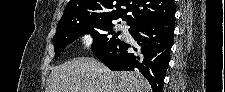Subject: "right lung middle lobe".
<instances>
[{"label":"right lung middle lobe","instance_id":"1","mask_svg":"<svg viewBox=\"0 0 225 92\" xmlns=\"http://www.w3.org/2000/svg\"><path fill=\"white\" fill-rule=\"evenodd\" d=\"M112 22H91L80 20L73 22L69 27L57 29L53 38L55 58L59 57L65 47L80 36L91 34L94 38L91 50H104L121 41L118 36L121 32L113 31ZM112 35V36H111Z\"/></svg>","mask_w":225,"mask_h":92}]
</instances>
